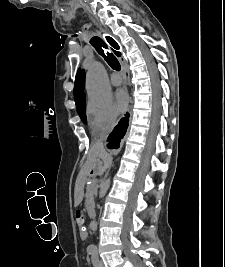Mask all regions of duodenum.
<instances>
[{"mask_svg":"<svg viewBox=\"0 0 225 267\" xmlns=\"http://www.w3.org/2000/svg\"><path fill=\"white\" fill-rule=\"evenodd\" d=\"M90 227L92 230H95L97 228V223L95 221H92Z\"/></svg>","mask_w":225,"mask_h":267,"instance_id":"1","label":"duodenum"}]
</instances>
